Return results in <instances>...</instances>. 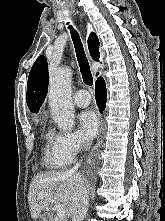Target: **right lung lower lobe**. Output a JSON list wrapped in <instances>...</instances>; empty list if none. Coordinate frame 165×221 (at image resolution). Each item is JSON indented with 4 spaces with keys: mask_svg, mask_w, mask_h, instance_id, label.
<instances>
[{
    "mask_svg": "<svg viewBox=\"0 0 165 221\" xmlns=\"http://www.w3.org/2000/svg\"><path fill=\"white\" fill-rule=\"evenodd\" d=\"M95 98L100 111L102 112L106 106V85L103 78L99 77L95 83Z\"/></svg>",
    "mask_w": 165,
    "mask_h": 221,
    "instance_id": "right-lung-lower-lobe-1",
    "label": "right lung lower lobe"
}]
</instances>
